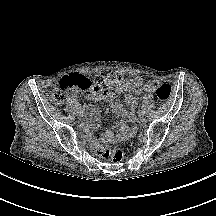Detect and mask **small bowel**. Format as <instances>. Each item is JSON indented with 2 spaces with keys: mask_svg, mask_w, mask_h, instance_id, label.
<instances>
[{
  "mask_svg": "<svg viewBox=\"0 0 216 216\" xmlns=\"http://www.w3.org/2000/svg\"><path fill=\"white\" fill-rule=\"evenodd\" d=\"M100 77L108 89L99 88L89 93L88 97L94 101H108L115 114L120 117H124L125 120H122L119 123L118 129L115 133L108 131L104 133L100 139L91 137V142H112L118 139L127 138L132 134L129 129L128 122L133 121L134 115L124 108L123 104L118 100L116 93L127 92L125 102L131 108H135L141 94L154 91V82L144 84L143 79L140 76L124 78L117 73H109L101 75ZM86 111L87 118L84 122V128L87 132H91L98 125V113L94 108L90 107H87Z\"/></svg>",
  "mask_w": 216,
  "mask_h": 216,
  "instance_id": "obj_1",
  "label": "small bowel"
}]
</instances>
